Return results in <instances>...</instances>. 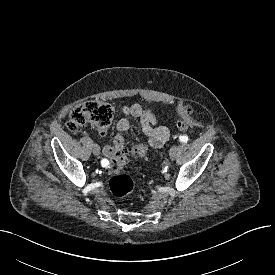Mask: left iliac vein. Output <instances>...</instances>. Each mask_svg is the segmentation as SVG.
Wrapping results in <instances>:
<instances>
[{"label": "left iliac vein", "mask_w": 275, "mask_h": 275, "mask_svg": "<svg viewBox=\"0 0 275 275\" xmlns=\"http://www.w3.org/2000/svg\"><path fill=\"white\" fill-rule=\"evenodd\" d=\"M177 152L178 148L176 146H172L169 151L170 158L174 159L176 157Z\"/></svg>", "instance_id": "1"}]
</instances>
